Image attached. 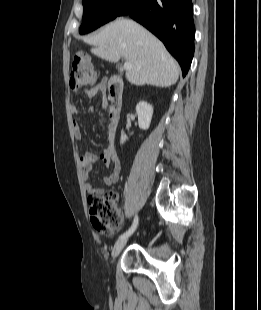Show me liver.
<instances>
[{
	"mask_svg": "<svg viewBox=\"0 0 261 310\" xmlns=\"http://www.w3.org/2000/svg\"><path fill=\"white\" fill-rule=\"evenodd\" d=\"M91 52L116 63L124 58L131 68L126 79L134 85L169 87L179 77L178 64L164 45L147 29L130 19H116L98 34L85 38Z\"/></svg>",
	"mask_w": 261,
	"mask_h": 310,
	"instance_id": "liver-1",
	"label": "liver"
}]
</instances>
